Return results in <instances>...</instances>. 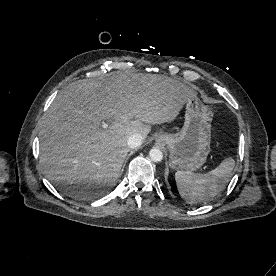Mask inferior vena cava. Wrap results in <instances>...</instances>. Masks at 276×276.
<instances>
[{
    "instance_id": "inferior-vena-cava-1",
    "label": "inferior vena cava",
    "mask_w": 276,
    "mask_h": 276,
    "mask_svg": "<svg viewBox=\"0 0 276 276\" xmlns=\"http://www.w3.org/2000/svg\"><path fill=\"white\" fill-rule=\"evenodd\" d=\"M143 137L140 134H132L128 137L127 145L129 148L134 149L142 145Z\"/></svg>"
}]
</instances>
